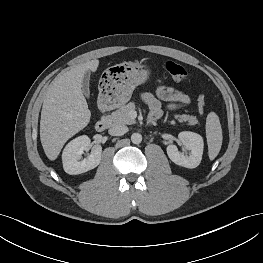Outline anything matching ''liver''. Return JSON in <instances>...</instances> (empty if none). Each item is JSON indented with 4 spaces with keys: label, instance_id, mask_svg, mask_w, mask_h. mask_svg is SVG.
Listing matches in <instances>:
<instances>
[{
    "label": "liver",
    "instance_id": "liver-1",
    "mask_svg": "<svg viewBox=\"0 0 263 263\" xmlns=\"http://www.w3.org/2000/svg\"><path fill=\"white\" fill-rule=\"evenodd\" d=\"M99 60L74 66L53 80L45 94L40 120V140L46 156L55 160L64 144L90 122L91 111L82 92L87 71L95 72Z\"/></svg>",
    "mask_w": 263,
    "mask_h": 263
}]
</instances>
